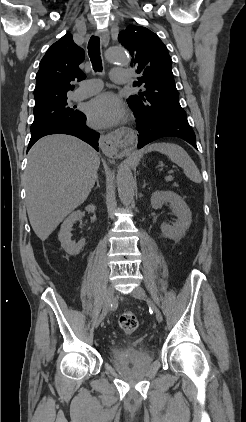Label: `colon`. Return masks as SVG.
<instances>
[{
    "instance_id": "colon-1",
    "label": "colon",
    "mask_w": 246,
    "mask_h": 422,
    "mask_svg": "<svg viewBox=\"0 0 246 422\" xmlns=\"http://www.w3.org/2000/svg\"><path fill=\"white\" fill-rule=\"evenodd\" d=\"M119 326L125 333H133L138 328V319L132 312H125L119 317Z\"/></svg>"
}]
</instances>
